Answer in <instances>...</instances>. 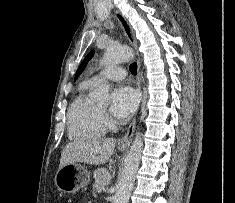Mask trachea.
I'll return each instance as SVG.
<instances>
[{
    "mask_svg": "<svg viewBox=\"0 0 235 203\" xmlns=\"http://www.w3.org/2000/svg\"><path fill=\"white\" fill-rule=\"evenodd\" d=\"M130 69V72L133 74V75H136L137 74V64L136 63H132L129 67Z\"/></svg>",
    "mask_w": 235,
    "mask_h": 203,
    "instance_id": "trachea-1",
    "label": "trachea"
}]
</instances>
